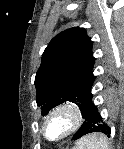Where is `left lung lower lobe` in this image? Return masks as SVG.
<instances>
[{
  "mask_svg": "<svg viewBox=\"0 0 124 149\" xmlns=\"http://www.w3.org/2000/svg\"><path fill=\"white\" fill-rule=\"evenodd\" d=\"M91 133L105 134L109 137L111 129L103 120L97 107L92 103L90 99L88 102V110L85 121L82 124L81 128L73 136L72 140H77L82 136Z\"/></svg>",
  "mask_w": 124,
  "mask_h": 149,
  "instance_id": "1",
  "label": "left lung lower lobe"
}]
</instances>
